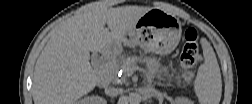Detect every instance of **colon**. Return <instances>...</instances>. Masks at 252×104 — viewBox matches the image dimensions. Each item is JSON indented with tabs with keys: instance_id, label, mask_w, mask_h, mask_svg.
<instances>
[{
	"instance_id": "obj_1",
	"label": "colon",
	"mask_w": 252,
	"mask_h": 104,
	"mask_svg": "<svg viewBox=\"0 0 252 104\" xmlns=\"http://www.w3.org/2000/svg\"><path fill=\"white\" fill-rule=\"evenodd\" d=\"M199 61V40L195 29L189 28L184 34V45L181 53L183 76L191 80L194 75V66Z\"/></svg>"
}]
</instances>
